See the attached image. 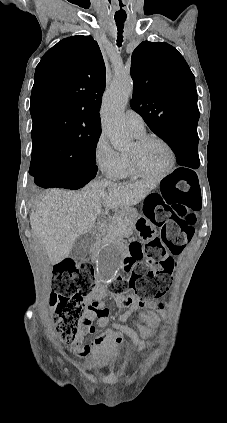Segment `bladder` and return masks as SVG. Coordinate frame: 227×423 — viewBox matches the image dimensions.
I'll use <instances>...</instances> for the list:
<instances>
[{"label": "bladder", "instance_id": "31cf9c89", "mask_svg": "<svg viewBox=\"0 0 227 423\" xmlns=\"http://www.w3.org/2000/svg\"><path fill=\"white\" fill-rule=\"evenodd\" d=\"M95 365L92 367L93 370H108L110 366L108 365V358L107 357H96L94 358ZM125 364V362H124ZM120 365H117V367Z\"/></svg>", "mask_w": 227, "mask_h": 423}]
</instances>
